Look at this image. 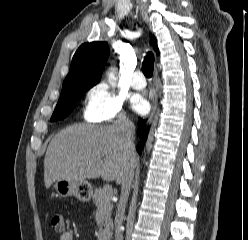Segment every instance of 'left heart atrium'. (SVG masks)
Here are the masks:
<instances>
[{
	"instance_id": "1",
	"label": "left heart atrium",
	"mask_w": 248,
	"mask_h": 240,
	"mask_svg": "<svg viewBox=\"0 0 248 240\" xmlns=\"http://www.w3.org/2000/svg\"><path fill=\"white\" fill-rule=\"evenodd\" d=\"M133 109L138 113H143L147 108V102L140 96H136L132 101Z\"/></svg>"
}]
</instances>
